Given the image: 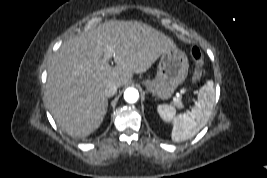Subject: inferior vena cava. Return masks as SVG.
<instances>
[{
    "label": "inferior vena cava",
    "mask_w": 267,
    "mask_h": 178,
    "mask_svg": "<svg viewBox=\"0 0 267 178\" xmlns=\"http://www.w3.org/2000/svg\"><path fill=\"white\" fill-rule=\"evenodd\" d=\"M117 92V85L115 83L109 82L105 85L104 94L107 97L114 96Z\"/></svg>",
    "instance_id": "602c4592"
}]
</instances>
